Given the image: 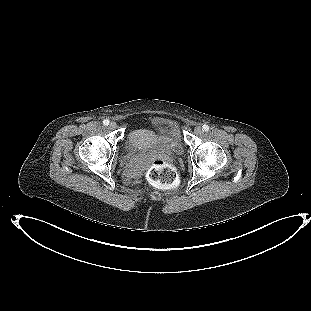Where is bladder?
<instances>
[{"instance_id": "31cf9c89", "label": "bladder", "mask_w": 311, "mask_h": 311, "mask_svg": "<svg viewBox=\"0 0 311 311\" xmlns=\"http://www.w3.org/2000/svg\"><path fill=\"white\" fill-rule=\"evenodd\" d=\"M125 149L131 153L162 149L174 154L183 152V141L178 125L162 116H155L150 127L130 130L125 138Z\"/></svg>"}]
</instances>
